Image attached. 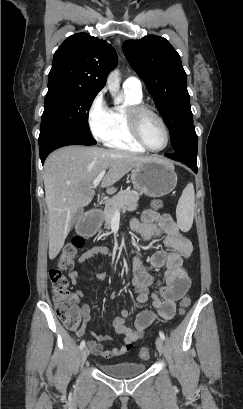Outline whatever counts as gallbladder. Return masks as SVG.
Listing matches in <instances>:
<instances>
[{"label": "gallbladder", "mask_w": 243, "mask_h": 409, "mask_svg": "<svg viewBox=\"0 0 243 409\" xmlns=\"http://www.w3.org/2000/svg\"><path fill=\"white\" fill-rule=\"evenodd\" d=\"M82 213H83V209L81 208V209H79L78 212L76 213V215H75V217H74V219H73V221H72V224H75V223H76V221L79 219V217L82 215Z\"/></svg>", "instance_id": "1"}]
</instances>
